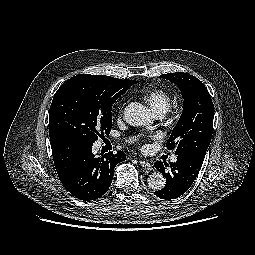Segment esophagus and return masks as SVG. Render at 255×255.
<instances>
[{
  "instance_id": "obj_1",
  "label": "esophagus",
  "mask_w": 255,
  "mask_h": 255,
  "mask_svg": "<svg viewBox=\"0 0 255 255\" xmlns=\"http://www.w3.org/2000/svg\"><path fill=\"white\" fill-rule=\"evenodd\" d=\"M139 164H140L142 167H144L145 169H148V170H152V169H153L152 165H151L149 162H147V161L141 160V161L139 162Z\"/></svg>"
}]
</instances>
